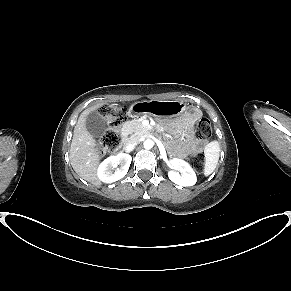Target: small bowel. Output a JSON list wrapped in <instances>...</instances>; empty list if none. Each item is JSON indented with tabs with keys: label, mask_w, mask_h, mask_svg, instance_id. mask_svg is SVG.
<instances>
[{
	"label": "small bowel",
	"mask_w": 291,
	"mask_h": 291,
	"mask_svg": "<svg viewBox=\"0 0 291 291\" xmlns=\"http://www.w3.org/2000/svg\"><path fill=\"white\" fill-rule=\"evenodd\" d=\"M200 116L201 113L196 107H184L178 111V119L164 123V126L177 137L172 145L173 156L184 158L196 148L192 127Z\"/></svg>",
	"instance_id": "small-bowel-1"
}]
</instances>
